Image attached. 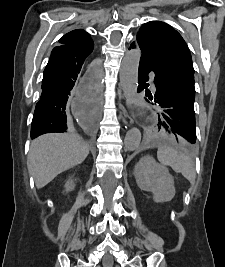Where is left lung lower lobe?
Returning a JSON list of instances; mask_svg holds the SVG:
<instances>
[{
    "instance_id": "1",
    "label": "left lung lower lobe",
    "mask_w": 225,
    "mask_h": 267,
    "mask_svg": "<svg viewBox=\"0 0 225 267\" xmlns=\"http://www.w3.org/2000/svg\"><path fill=\"white\" fill-rule=\"evenodd\" d=\"M138 46L132 43L130 48ZM154 72L156 93L146 90L145 100L159 109L166 131L178 134L188 146L196 142L194 112V72L183 66H162L152 63L143 54L138 70V92L149 84L148 73Z\"/></svg>"
}]
</instances>
